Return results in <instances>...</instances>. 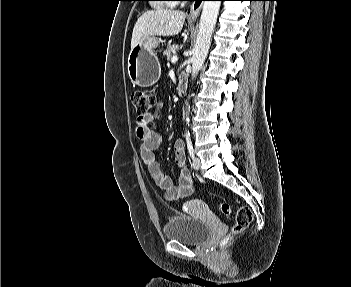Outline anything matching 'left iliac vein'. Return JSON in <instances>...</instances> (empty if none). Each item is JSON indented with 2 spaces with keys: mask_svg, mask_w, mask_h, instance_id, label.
Masks as SVG:
<instances>
[{
  "mask_svg": "<svg viewBox=\"0 0 351 287\" xmlns=\"http://www.w3.org/2000/svg\"><path fill=\"white\" fill-rule=\"evenodd\" d=\"M192 166L195 170H199L200 169V166H201V162H200V159L196 156L193 157V160H192Z\"/></svg>",
  "mask_w": 351,
  "mask_h": 287,
  "instance_id": "4c4485c4",
  "label": "left iliac vein"
}]
</instances>
